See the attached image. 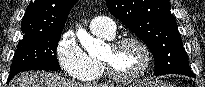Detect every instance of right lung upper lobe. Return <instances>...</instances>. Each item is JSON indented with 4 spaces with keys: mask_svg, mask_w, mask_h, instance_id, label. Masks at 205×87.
<instances>
[{
    "mask_svg": "<svg viewBox=\"0 0 205 87\" xmlns=\"http://www.w3.org/2000/svg\"><path fill=\"white\" fill-rule=\"evenodd\" d=\"M77 0H35L26 9L21 29L24 34L62 31Z\"/></svg>",
    "mask_w": 205,
    "mask_h": 87,
    "instance_id": "1",
    "label": "right lung upper lobe"
}]
</instances>
